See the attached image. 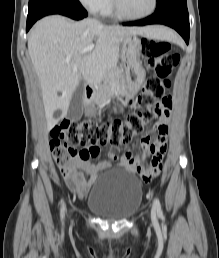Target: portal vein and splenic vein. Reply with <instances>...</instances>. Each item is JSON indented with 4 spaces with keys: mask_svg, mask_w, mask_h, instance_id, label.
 <instances>
[{
    "mask_svg": "<svg viewBox=\"0 0 219 258\" xmlns=\"http://www.w3.org/2000/svg\"><path fill=\"white\" fill-rule=\"evenodd\" d=\"M94 47H95L94 44L89 45L88 47H86V48L82 51V54L87 53V52H90ZM70 59H71V57L69 56V57H67L66 60L69 61Z\"/></svg>",
    "mask_w": 219,
    "mask_h": 258,
    "instance_id": "18ae733b",
    "label": "portal vein and splenic vein"
}]
</instances>
